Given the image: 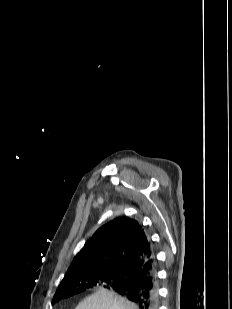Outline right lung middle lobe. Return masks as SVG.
<instances>
[{
	"label": "right lung middle lobe",
	"instance_id": "obj_1",
	"mask_svg": "<svg viewBox=\"0 0 232 309\" xmlns=\"http://www.w3.org/2000/svg\"><path fill=\"white\" fill-rule=\"evenodd\" d=\"M125 274L116 271H87L74 275L72 278L62 282L56 291L53 303L67 298L94 286L112 288L125 283Z\"/></svg>",
	"mask_w": 232,
	"mask_h": 309
}]
</instances>
